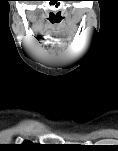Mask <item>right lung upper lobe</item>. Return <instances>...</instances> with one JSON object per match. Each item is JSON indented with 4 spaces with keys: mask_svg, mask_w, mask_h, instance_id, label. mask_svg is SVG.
I'll list each match as a JSON object with an SVG mask.
<instances>
[{
    "mask_svg": "<svg viewBox=\"0 0 118 151\" xmlns=\"http://www.w3.org/2000/svg\"><path fill=\"white\" fill-rule=\"evenodd\" d=\"M24 147H28V146H31V142L29 141H26L24 144H23Z\"/></svg>",
    "mask_w": 118,
    "mask_h": 151,
    "instance_id": "cb5924a9",
    "label": "right lung upper lobe"
}]
</instances>
